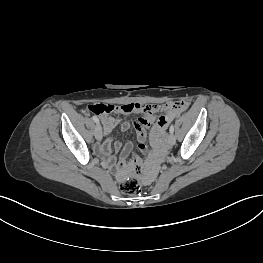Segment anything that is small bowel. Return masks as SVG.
<instances>
[{
  "instance_id": "obj_1",
  "label": "small bowel",
  "mask_w": 263,
  "mask_h": 263,
  "mask_svg": "<svg viewBox=\"0 0 263 263\" xmlns=\"http://www.w3.org/2000/svg\"><path fill=\"white\" fill-rule=\"evenodd\" d=\"M140 103L141 105L144 103ZM107 113L100 115V120L103 124V130L105 135H109L112 130L120 126L122 131H126L130 128V122L126 120H120L118 118H114ZM177 106L174 103H169V106L160 111L158 115L162 118L156 119V114L153 112L152 114H140V118L136 120L133 125L136 130L137 140H138V148L140 151H146V142L148 139V130L154 123L150 129V140L153 144L151 146V155L148 156L144 163L146 164L144 173L147 176H150L153 171L156 163L160 160V156L163 154V133L162 130L167 128V124L178 114ZM168 115H173L171 118ZM162 140V144L160 141ZM122 148V144L120 141H117L114 145L112 144L111 138H106L103 142L99 143L96 147L97 153L103 157L108 162H111L114 159L113 153L118 152ZM133 145L131 142H127L121 153V157L119 162L116 164V172L119 178H123L128 174L129 165L127 164L128 157L133 153ZM131 170L133 175L140 176L143 173L142 162L138 158H135L131 162Z\"/></svg>"
}]
</instances>
